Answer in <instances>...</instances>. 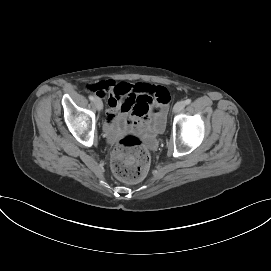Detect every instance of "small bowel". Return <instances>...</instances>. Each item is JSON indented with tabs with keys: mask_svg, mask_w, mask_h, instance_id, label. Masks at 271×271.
I'll return each instance as SVG.
<instances>
[{
	"mask_svg": "<svg viewBox=\"0 0 271 271\" xmlns=\"http://www.w3.org/2000/svg\"><path fill=\"white\" fill-rule=\"evenodd\" d=\"M97 95L107 98L105 130L114 138L123 128L157 130L164 125L169 92L148 83L102 81ZM124 99V100H123Z\"/></svg>",
	"mask_w": 271,
	"mask_h": 271,
	"instance_id": "obj_1",
	"label": "small bowel"
}]
</instances>
